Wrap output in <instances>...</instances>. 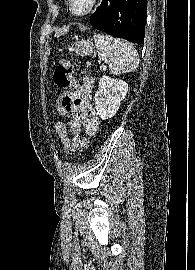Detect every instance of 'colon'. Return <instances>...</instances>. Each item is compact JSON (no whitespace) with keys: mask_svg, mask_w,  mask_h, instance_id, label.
Listing matches in <instances>:
<instances>
[{"mask_svg":"<svg viewBox=\"0 0 195 270\" xmlns=\"http://www.w3.org/2000/svg\"><path fill=\"white\" fill-rule=\"evenodd\" d=\"M73 71V65L69 61L60 60L54 72L53 80L56 86L66 89V91L57 98L56 107L69 108L76 100L79 84L73 77ZM79 147L82 150L88 148L87 138L79 139Z\"/></svg>","mask_w":195,"mask_h":270,"instance_id":"5ec220e1","label":"colon"}]
</instances>
